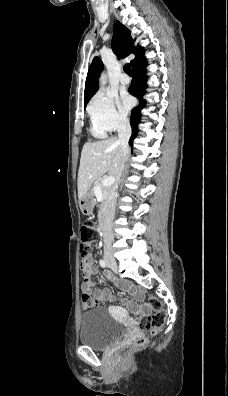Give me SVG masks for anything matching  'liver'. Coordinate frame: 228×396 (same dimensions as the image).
I'll return each instance as SVG.
<instances>
[{
  "mask_svg": "<svg viewBox=\"0 0 228 396\" xmlns=\"http://www.w3.org/2000/svg\"><path fill=\"white\" fill-rule=\"evenodd\" d=\"M123 158V148L116 137L84 144L77 180L78 198H82L103 174L108 172L117 178Z\"/></svg>",
  "mask_w": 228,
  "mask_h": 396,
  "instance_id": "liver-1",
  "label": "liver"
}]
</instances>
